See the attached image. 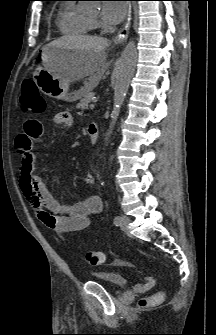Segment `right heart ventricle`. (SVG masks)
Returning a JSON list of instances; mask_svg holds the SVG:
<instances>
[{
    "mask_svg": "<svg viewBox=\"0 0 216 335\" xmlns=\"http://www.w3.org/2000/svg\"><path fill=\"white\" fill-rule=\"evenodd\" d=\"M56 24L62 34L71 36L87 35L95 27L93 20L73 3H65L60 7Z\"/></svg>",
    "mask_w": 216,
    "mask_h": 335,
    "instance_id": "right-heart-ventricle-1",
    "label": "right heart ventricle"
}]
</instances>
